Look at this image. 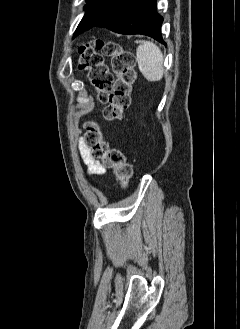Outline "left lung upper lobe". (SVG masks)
<instances>
[{
  "instance_id": "obj_1",
  "label": "left lung upper lobe",
  "mask_w": 240,
  "mask_h": 329,
  "mask_svg": "<svg viewBox=\"0 0 240 329\" xmlns=\"http://www.w3.org/2000/svg\"><path fill=\"white\" fill-rule=\"evenodd\" d=\"M121 0H86L85 15L79 23L74 37L92 28L103 19Z\"/></svg>"
}]
</instances>
